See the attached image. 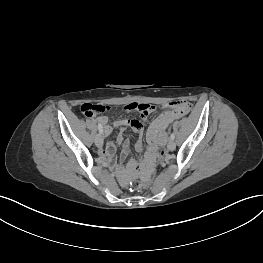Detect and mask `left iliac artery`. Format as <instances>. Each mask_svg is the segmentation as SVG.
<instances>
[{"mask_svg": "<svg viewBox=\"0 0 263 263\" xmlns=\"http://www.w3.org/2000/svg\"><path fill=\"white\" fill-rule=\"evenodd\" d=\"M170 139H171V140H174V139H175L174 133H172V134L170 135Z\"/></svg>", "mask_w": 263, "mask_h": 263, "instance_id": "left-iliac-artery-1", "label": "left iliac artery"}]
</instances>
